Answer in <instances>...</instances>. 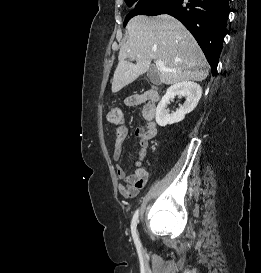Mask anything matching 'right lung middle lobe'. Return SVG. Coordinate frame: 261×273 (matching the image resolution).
Wrapping results in <instances>:
<instances>
[{"instance_id":"obj_1","label":"right lung middle lobe","mask_w":261,"mask_h":273,"mask_svg":"<svg viewBox=\"0 0 261 273\" xmlns=\"http://www.w3.org/2000/svg\"><path fill=\"white\" fill-rule=\"evenodd\" d=\"M125 1L129 7L133 8V10L127 15L124 21V26L132 17L136 15L144 14L150 8L163 4L169 0H125Z\"/></svg>"}]
</instances>
